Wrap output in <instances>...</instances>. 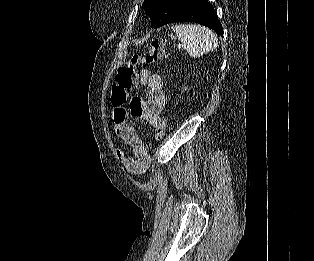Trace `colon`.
<instances>
[{"label": "colon", "mask_w": 314, "mask_h": 261, "mask_svg": "<svg viewBox=\"0 0 314 261\" xmlns=\"http://www.w3.org/2000/svg\"><path fill=\"white\" fill-rule=\"evenodd\" d=\"M164 57V41L155 39L151 42L147 52L143 55L134 54L130 61L119 68L115 75V82L112 86L111 102L113 104L125 103L128 99L130 91L136 83V67L141 64L153 65ZM167 128V123L162 120L155 128V138L160 140L163 138Z\"/></svg>", "instance_id": "colon-1"}]
</instances>
